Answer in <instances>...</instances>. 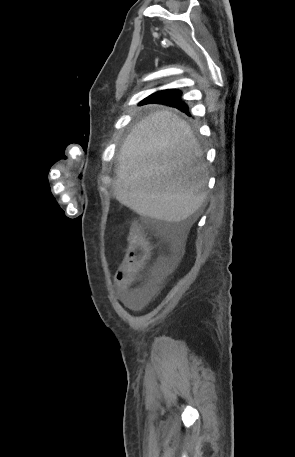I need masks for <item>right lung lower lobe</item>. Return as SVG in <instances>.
I'll list each match as a JSON object with an SVG mask.
<instances>
[{"mask_svg":"<svg viewBox=\"0 0 295 457\" xmlns=\"http://www.w3.org/2000/svg\"><path fill=\"white\" fill-rule=\"evenodd\" d=\"M176 91L179 92L178 96H176L174 98L166 99L163 102H158V94L161 92V91H159V92L154 93V94L150 95L149 97H147L142 102V104H145V103H161V104H166V105H169V106H174V107H176V108L188 113V107L180 100L181 92L179 90H176Z\"/></svg>","mask_w":295,"mask_h":457,"instance_id":"obj_1","label":"right lung lower lobe"}]
</instances>
